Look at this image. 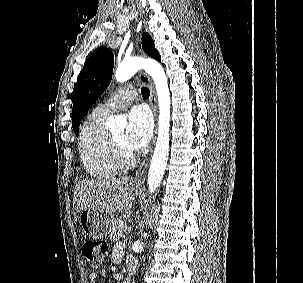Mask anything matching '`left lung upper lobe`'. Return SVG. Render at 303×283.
<instances>
[{
	"instance_id": "left-lung-upper-lobe-1",
	"label": "left lung upper lobe",
	"mask_w": 303,
	"mask_h": 283,
	"mask_svg": "<svg viewBox=\"0 0 303 283\" xmlns=\"http://www.w3.org/2000/svg\"><path fill=\"white\" fill-rule=\"evenodd\" d=\"M142 48L152 58L160 61V55L148 33L142 34ZM114 56L110 49L100 47L86 60L73 93L72 127L79 134V126L88 109L106 90L112 77Z\"/></svg>"
}]
</instances>
